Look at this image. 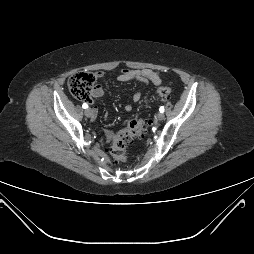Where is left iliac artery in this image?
<instances>
[{
    "mask_svg": "<svg viewBox=\"0 0 254 254\" xmlns=\"http://www.w3.org/2000/svg\"><path fill=\"white\" fill-rule=\"evenodd\" d=\"M159 110H160V112H162V113H163L165 109H164V107H163V106H161Z\"/></svg>",
    "mask_w": 254,
    "mask_h": 254,
    "instance_id": "obj_1",
    "label": "left iliac artery"
}]
</instances>
